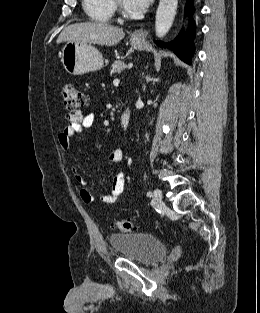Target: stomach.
Listing matches in <instances>:
<instances>
[{"mask_svg": "<svg viewBox=\"0 0 260 313\" xmlns=\"http://www.w3.org/2000/svg\"><path fill=\"white\" fill-rule=\"evenodd\" d=\"M133 48L142 50L146 42L131 38ZM61 61L65 70L71 75H83L98 71L103 67L101 53L91 44L68 41L61 54Z\"/></svg>", "mask_w": 260, "mask_h": 313, "instance_id": "0dacf381", "label": "stomach"}]
</instances>
